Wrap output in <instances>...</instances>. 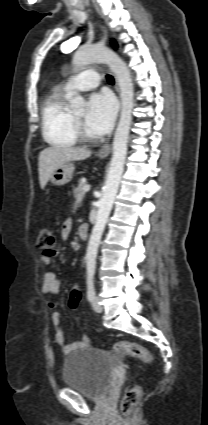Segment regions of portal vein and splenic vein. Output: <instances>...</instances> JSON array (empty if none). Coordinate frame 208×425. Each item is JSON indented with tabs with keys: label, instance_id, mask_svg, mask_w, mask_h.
Wrapping results in <instances>:
<instances>
[{
	"label": "portal vein and splenic vein",
	"instance_id": "1",
	"mask_svg": "<svg viewBox=\"0 0 208 425\" xmlns=\"http://www.w3.org/2000/svg\"><path fill=\"white\" fill-rule=\"evenodd\" d=\"M83 190L85 192H88L90 190V185H85L84 188H83Z\"/></svg>",
	"mask_w": 208,
	"mask_h": 425
}]
</instances>
